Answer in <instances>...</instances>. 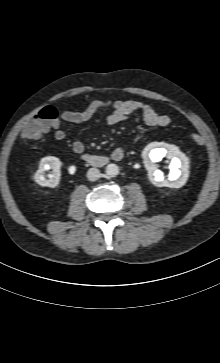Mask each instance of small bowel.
Returning a JSON list of instances; mask_svg holds the SVG:
<instances>
[{"instance_id": "1", "label": "small bowel", "mask_w": 220, "mask_h": 363, "mask_svg": "<svg viewBox=\"0 0 220 363\" xmlns=\"http://www.w3.org/2000/svg\"><path fill=\"white\" fill-rule=\"evenodd\" d=\"M111 107L112 112L106 118V124L109 126L119 124L129 118L134 113H139L143 122L147 126L166 127L170 124L171 119L165 114L156 112L149 105L135 100H115V101H93L83 111H63L51 126L54 130V136L57 140H63L66 137L65 132L60 128L61 122L66 123H84L89 121L96 111L101 107ZM85 150L81 141L73 142V151L76 154H82ZM121 149H116L113 153ZM112 153V154H113Z\"/></svg>"}]
</instances>
